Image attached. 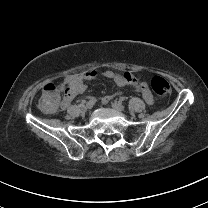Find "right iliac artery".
<instances>
[{
    "label": "right iliac artery",
    "instance_id": "obj_1",
    "mask_svg": "<svg viewBox=\"0 0 208 208\" xmlns=\"http://www.w3.org/2000/svg\"><path fill=\"white\" fill-rule=\"evenodd\" d=\"M90 101H92L93 103L96 102V98L95 97H90Z\"/></svg>",
    "mask_w": 208,
    "mask_h": 208
}]
</instances>
